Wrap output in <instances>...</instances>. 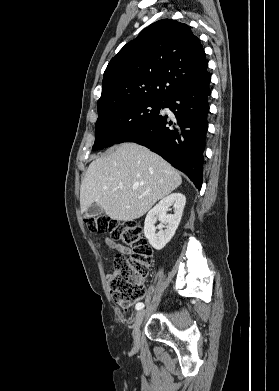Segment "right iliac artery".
I'll list each match as a JSON object with an SVG mask.
<instances>
[{"label":"right iliac artery","instance_id":"1","mask_svg":"<svg viewBox=\"0 0 279 391\" xmlns=\"http://www.w3.org/2000/svg\"><path fill=\"white\" fill-rule=\"evenodd\" d=\"M143 307H144V304L141 303V302L136 304V309L137 310H141V309H143Z\"/></svg>","mask_w":279,"mask_h":391}]
</instances>
